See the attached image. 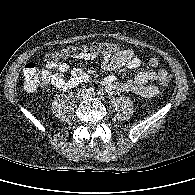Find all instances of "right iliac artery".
Segmentation results:
<instances>
[{"instance_id":"right-iliac-artery-1","label":"right iliac artery","mask_w":195,"mask_h":195,"mask_svg":"<svg viewBox=\"0 0 195 195\" xmlns=\"http://www.w3.org/2000/svg\"><path fill=\"white\" fill-rule=\"evenodd\" d=\"M87 92L93 93V92H94V88H93V87L88 88V89H87Z\"/></svg>"}]
</instances>
